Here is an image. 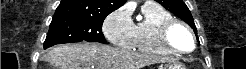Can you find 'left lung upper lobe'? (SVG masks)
<instances>
[{
  "instance_id": "1",
  "label": "left lung upper lobe",
  "mask_w": 246,
  "mask_h": 69,
  "mask_svg": "<svg viewBox=\"0 0 246 69\" xmlns=\"http://www.w3.org/2000/svg\"><path fill=\"white\" fill-rule=\"evenodd\" d=\"M156 1L159 2L164 8H166L167 10H169L170 12L181 18L183 21H185L187 24H189L197 36V29L194 24L192 15L188 7L182 0H156Z\"/></svg>"
}]
</instances>
